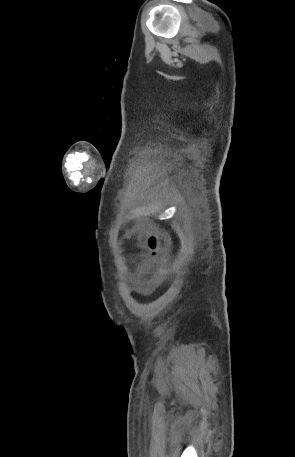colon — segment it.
<instances>
[{
    "instance_id": "5ec220e1",
    "label": "colon",
    "mask_w": 295,
    "mask_h": 457,
    "mask_svg": "<svg viewBox=\"0 0 295 457\" xmlns=\"http://www.w3.org/2000/svg\"><path fill=\"white\" fill-rule=\"evenodd\" d=\"M166 237L162 234H150L145 242L146 250L151 258H156L160 250L162 248V245L166 243Z\"/></svg>"
}]
</instances>
